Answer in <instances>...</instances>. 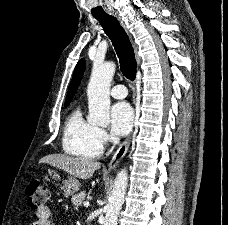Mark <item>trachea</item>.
I'll use <instances>...</instances> for the list:
<instances>
[{
	"label": "trachea",
	"mask_w": 228,
	"mask_h": 225,
	"mask_svg": "<svg viewBox=\"0 0 228 225\" xmlns=\"http://www.w3.org/2000/svg\"><path fill=\"white\" fill-rule=\"evenodd\" d=\"M104 32L113 43L120 62V69L128 80L136 76V59L129 37L115 17L98 19Z\"/></svg>",
	"instance_id": "1"
}]
</instances>
